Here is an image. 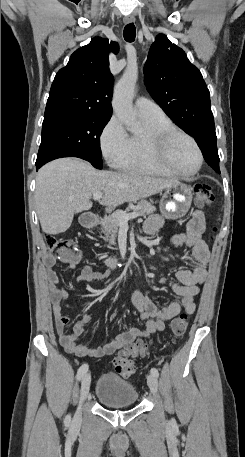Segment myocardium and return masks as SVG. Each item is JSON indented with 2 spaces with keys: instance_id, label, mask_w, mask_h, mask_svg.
<instances>
[{
  "instance_id": "myocardium-1",
  "label": "myocardium",
  "mask_w": 245,
  "mask_h": 457,
  "mask_svg": "<svg viewBox=\"0 0 245 457\" xmlns=\"http://www.w3.org/2000/svg\"><path fill=\"white\" fill-rule=\"evenodd\" d=\"M178 135L184 136L191 143V147L197 156V165L194 170L190 172H181L172 169L169 166L162 164L155 157L153 149L154 146H166L172 139ZM141 152L144 159L156 170L173 176L188 177L196 174L202 166L203 155L198 147L196 140L184 130L177 127H156L149 128L147 132L142 136L141 140Z\"/></svg>"
}]
</instances>
